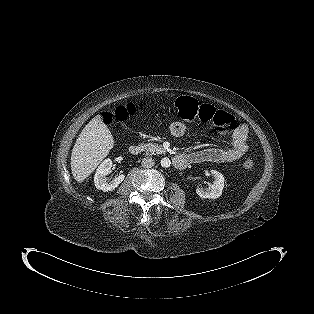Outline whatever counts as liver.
Returning a JSON list of instances; mask_svg holds the SVG:
<instances>
[{
  "mask_svg": "<svg viewBox=\"0 0 314 314\" xmlns=\"http://www.w3.org/2000/svg\"><path fill=\"white\" fill-rule=\"evenodd\" d=\"M114 147V138L101 120L94 117L82 130L71 154V170L77 182H83Z\"/></svg>",
  "mask_w": 314,
  "mask_h": 314,
  "instance_id": "obj_1",
  "label": "liver"
}]
</instances>
